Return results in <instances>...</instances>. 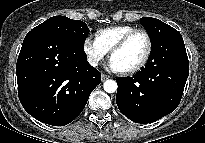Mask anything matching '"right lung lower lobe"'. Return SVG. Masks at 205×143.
<instances>
[{"label":"right lung lower lobe","mask_w":205,"mask_h":143,"mask_svg":"<svg viewBox=\"0 0 205 143\" xmlns=\"http://www.w3.org/2000/svg\"><path fill=\"white\" fill-rule=\"evenodd\" d=\"M18 96L40 122L64 126L84 109L100 84V72L87 62L83 48L50 31L31 30L16 64Z\"/></svg>","instance_id":"1"}]
</instances>
